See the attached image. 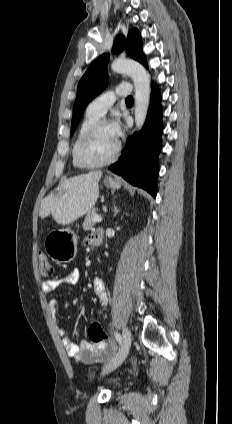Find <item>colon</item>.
I'll return each instance as SVG.
<instances>
[{"label":"colon","mask_w":232,"mask_h":424,"mask_svg":"<svg viewBox=\"0 0 232 424\" xmlns=\"http://www.w3.org/2000/svg\"><path fill=\"white\" fill-rule=\"evenodd\" d=\"M40 273L43 276H51L53 274V266L48 256L40 251L38 253ZM88 336L94 344H105L109 342V337L104 332L101 324L98 321H94L89 325Z\"/></svg>","instance_id":"obj_1"}]
</instances>
